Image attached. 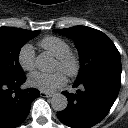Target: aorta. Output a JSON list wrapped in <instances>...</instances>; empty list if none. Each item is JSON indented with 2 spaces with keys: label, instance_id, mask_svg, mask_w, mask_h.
I'll use <instances>...</instances> for the list:
<instances>
[{
  "label": "aorta",
  "instance_id": "1",
  "mask_svg": "<svg viewBox=\"0 0 128 128\" xmlns=\"http://www.w3.org/2000/svg\"><path fill=\"white\" fill-rule=\"evenodd\" d=\"M36 67L42 72H51L55 69V60L47 53L39 54L35 61ZM68 105L67 97L63 94L57 93L52 96L51 106L56 111H63Z\"/></svg>",
  "mask_w": 128,
  "mask_h": 128
}]
</instances>
